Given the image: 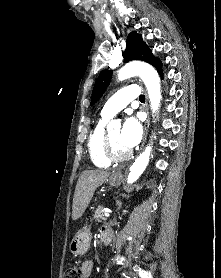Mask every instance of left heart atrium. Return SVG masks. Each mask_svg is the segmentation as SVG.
<instances>
[{"label": "left heart atrium", "instance_id": "39dd6f15", "mask_svg": "<svg viewBox=\"0 0 221 278\" xmlns=\"http://www.w3.org/2000/svg\"><path fill=\"white\" fill-rule=\"evenodd\" d=\"M141 135L142 128L139 121L134 117H128L120 131L119 140L125 148L131 149L139 142Z\"/></svg>", "mask_w": 221, "mask_h": 278}]
</instances>
